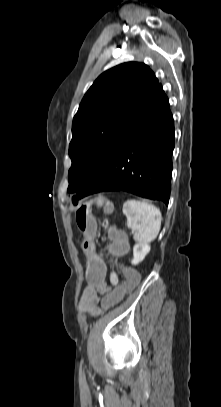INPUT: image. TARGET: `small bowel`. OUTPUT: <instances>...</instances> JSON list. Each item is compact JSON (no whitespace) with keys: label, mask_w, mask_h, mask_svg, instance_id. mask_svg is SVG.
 Listing matches in <instances>:
<instances>
[{"label":"small bowel","mask_w":221,"mask_h":407,"mask_svg":"<svg viewBox=\"0 0 221 407\" xmlns=\"http://www.w3.org/2000/svg\"><path fill=\"white\" fill-rule=\"evenodd\" d=\"M106 265V264H105ZM111 287L107 284L105 286H87L83 291L80 300V310L90 317H95L102 311L100 307V300L105 292L112 289L119 283L118 275L115 271L111 270L109 274ZM99 305V306H98Z\"/></svg>","instance_id":"small-bowel-1"}]
</instances>
